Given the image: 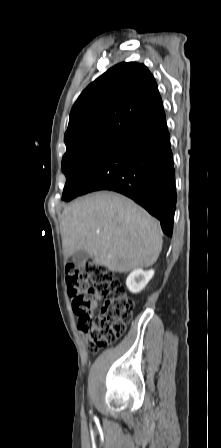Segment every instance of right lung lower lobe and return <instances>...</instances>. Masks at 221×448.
Segmentation results:
<instances>
[{
    "label": "right lung lower lobe",
    "mask_w": 221,
    "mask_h": 448,
    "mask_svg": "<svg viewBox=\"0 0 221 448\" xmlns=\"http://www.w3.org/2000/svg\"><path fill=\"white\" fill-rule=\"evenodd\" d=\"M97 190L130 197L160 220L164 234L172 236L175 171L163 108L118 138L81 195Z\"/></svg>",
    "instance_id": "98d812e1"
}]
</instances>
